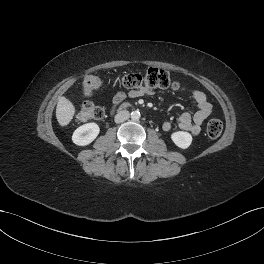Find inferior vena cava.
<instances>
[{
    "mask_svg": "<svg viewBox=\"0 0 264 264\" xmlns=\"http://www.w3.org/2000/svg\"><path fill=\"white\" fill-rule=\"evenodd\" d=\"M129 117H130L129 111H127V110L119 111L115 115V122L116 123H122V122L126 121L127 119H129Z\"/></svg>",
    "mask_w": 264,
    "mask_h": 264,
    "instance_id": "inferior-vena-cava-1",
    "label": "inferior vena cava"
}]
</instances>
